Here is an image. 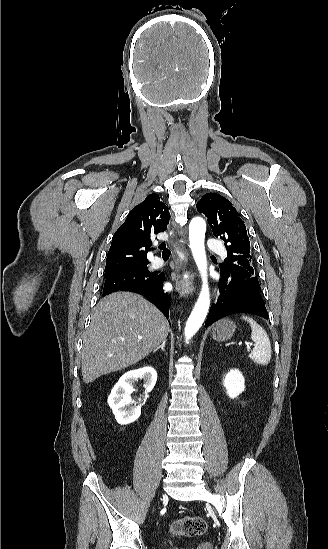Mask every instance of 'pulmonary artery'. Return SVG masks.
Returning <instances> with one entry per match:
<instances>
[{
    "mask_svg": "<svg viewBox=\"0 0 328 549\" xmlns=\"http://www.w3.org/2000/svg\"><path fill=\"white\" fill-rule=\"evenodd\" d=\"M208 248L210 251L215 252L218 250L219 245L217 242L212 241L209 243ZM162 265V260L157 256H152L149 259V266L151 268H159Z\"/></svg>",
    "mask_w": 328,
    "mask_h": 549,
    "instance_id": "obj_1",
    "label": "pulmonary artery"
}]
</instances>
